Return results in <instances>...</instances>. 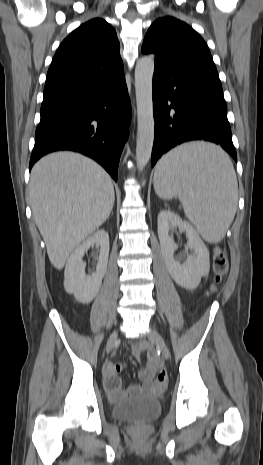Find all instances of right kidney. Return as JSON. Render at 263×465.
<instances>
[{
	"mask_svg": "<svg viewBox=\"0 0 263 465\" xmlns=\"http://www.w3.org/2000/svg\"><path fill=\"white\" fill-rule=\"evenodd\" d=\"M100 247L96 271L90 276L85 273L83 256L91 246ZM109 256V235L105 230H98L77 246L68 259L64 271V288L74 294L77 301L88 304L98 294L102 279L107 270Z\"/></svg>",
	"mask_w": 263,
	"mask_h": 465,
	"instance_id": "1",
	"label": "right kidney"
}]
</instances>
